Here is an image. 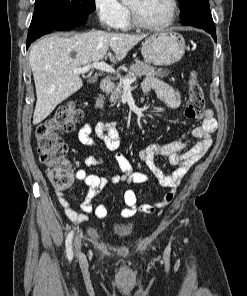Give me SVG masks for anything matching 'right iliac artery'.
I'll return each mask as SVG.
<instances>
[{"label": "right iliac artery", "mask_w": 247, "mask_h": 296, "mask_svg": "<svg viewBox=\"0 0 247 296\" xmlns=\"http://www.w3.org/2000/svg\"><path fill=\"white\" fill-rule=\"evenodd\" d=\"M72 239L73 231L69 232V234L66 237V253L69 260L73 258Z\"/></svg>", "instance_id": "obj_1"}]
</instances>
